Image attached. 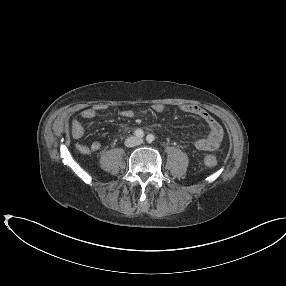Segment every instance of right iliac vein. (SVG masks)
Returning <instances> with one entry per match:
<instances>
[{
	"label": "right iliac vein",
	"mask_w": 286,
	"mask_h": 286,
	"mask_svg": "<svg viewBox=\"0 0 286 286\" xmlns=\"http://www.w3.org/2000/svg\"><path fill=\"white\" fill-rule=\"evenodd\" d=\"M136 143L137 139L133 136H130L125 140V146L128 148L135 146Z\"/></svg>",
	"instance_id": "1"
}]
</instances>
